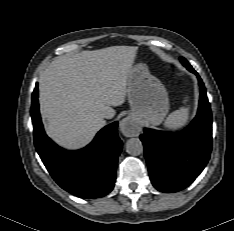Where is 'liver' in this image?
Masks as SVG:
<instances>
[{"label":"liver","mask_w":234,"mask_h":231,"mask_svg":"<svg viewBox=\"0 0 234 231\" xmlns=\"http://www.w3.org/2000/svg\"><path fill=\"white\" fill-rule=\"evenodd\" d=\"M135 47L112 46L54 60L39 79L46 131L67 149L87 145L124 102Z\"/></svg>","instance_id":"liver-1"}]
</instances>
